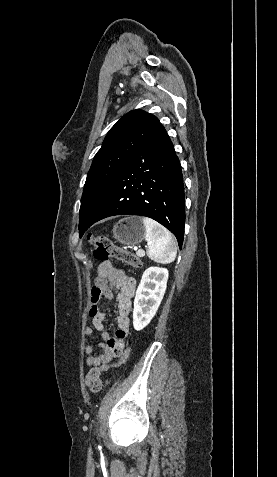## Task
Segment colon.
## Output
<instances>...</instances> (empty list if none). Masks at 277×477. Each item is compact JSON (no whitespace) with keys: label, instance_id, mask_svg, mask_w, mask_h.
<instances>
[{"label":"colon","instance_id":"colon-1","mask_svg":"<svg viewBox=\"0 0 277 477\" xmlns=\"http://www.w3.org/2000/svg\"><path fill=\"white\" fill-rule=\"evenodd\" d=\"M93 246V255L97 260L105 261L113 259L117 262H123L129 268H142L143 260L140 256L115 245L108 237L96 235L90 237ZM100 370L92 368L86 376V384L92 392H97L101 388Z\"/></svg>","mask_w":277,"mask_h":477}]
</instances>
